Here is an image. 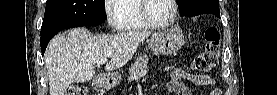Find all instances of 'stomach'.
<instances>
[{
    "label": "stomach",
    "mask_w": 277,
    "mask_h": 95,
    "mask_svg": "<svg viewBox=\"0 0 277 95\" xmlns=\"http://www.w3.org/2000/svg\"><path fill=\"white\" fill-rule=\"evenodd\" d=\"M184 43L183 35L175 30L157 32L149 39V47L156 54L169 55L177 52ZM117 72L108 74L103 81L106 87H115L121 81Z\"/></svg>",
    "instance_id": "stomach-1"
}]
</instances>
